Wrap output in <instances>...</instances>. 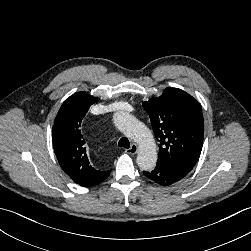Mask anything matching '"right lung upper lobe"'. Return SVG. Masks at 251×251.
<instances>
[{"label":"right lung upper lobe","mask_w":251,"mask_h":251,"mask_svg":"<svg viewBox=\"0 0 251 251\" xmlns=\"http://www.w3.org/2000/svg\"><path fill=\"white\" fill-rule=\"evenodd\" d=\"M96 97L78 92L64 101L53 126V147L63 171L84 187H91L105 180L110 171L94 168L88 159L81 123Z\"/></svg>","instance_id":"right-lung-upper-lobe-1"}]
</instances>
